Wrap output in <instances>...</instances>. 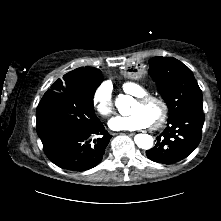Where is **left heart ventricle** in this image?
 <instances>
[{"label":"left heart ventricle","mask_w":221,"mask_h":221,"mask_svg":"<svg viewBox=\"0 0 221 221\" xmlns=\"http://www.w3.org/2000/svg\"><path fill=\"white\" fill-rule=\"evenodd\" d=\"M161 111V106L156 102H150L147 104L135 102L131 108V113H142L148 119L150 125L159 119Z\"/></svg>","instance_id":"1"}]
</instances>
